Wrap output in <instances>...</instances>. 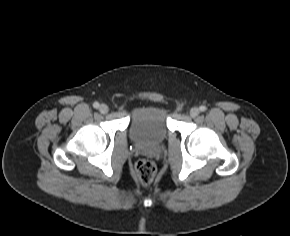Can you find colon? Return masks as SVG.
<instances>
[{
    "instance_id": "colon-1",
    "label": "colon",
    "mask_w": 290,
    "mask_h": 236,
    "mask_svg": "<svg viewBox=\"0 0 290 236\" xmlns=\"http://www.w3.org/2000/svg\"><path fill=\"white\" fill-rule=\"evenodd\" d=\"M135 176L142 184H149L153 181L156 174V165L154 162L142 159L135 164Z\"/></svg>"
}]
</instances>
